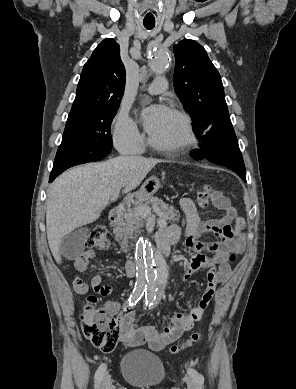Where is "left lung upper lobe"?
Returning a JSON list of instances; mask_svg holds the SVG:
<instances>
[{"mask_svg": "<svg viewBox=\"0 0 296 389\" xmlns=\"http://www.w3.org/2000/svg\"><path fill=\"white\" fill-rule=\"evenodd\" d=\"M174 88L184 109L193 119L198 140L217 120L228 114L221 77L205 49L184 39L173 48Z\"/></svg>", "mask_w": 296, "mask_h": 389, "instance_id": "5c2ea615", "label": "left lung upper lobe"}]
</instances>
